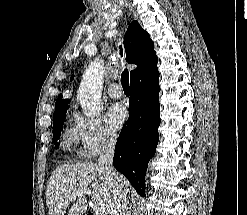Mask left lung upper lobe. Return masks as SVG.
<instances>
[{
  "label": "left lung upper lobe",
  "instance_id": "5c2ea615",
  "mask_svg": "<svg viewBox=\"0 0 247 215\" xmlns=\"http://www.w3.org/2000/svg\"><path fill=\"white\" fill-rule=\"evenodd\" d=\"M74 78V75L71 76V80Z\"/></svg>",
  "mask_w": 247,
  "mask_h": 215
}]
</instances>
